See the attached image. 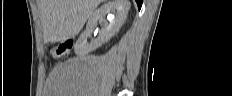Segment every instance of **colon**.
Returning <instances> with one entry per match:
<instances>
[{
  "instance_id": "colon-1",
  "label": "colon",
  "mask_w": 232,
  "mask_h": 96,
  "mask_svg": "<svg viewBox=\"0 0 232 96\" xmlns=\"http://www.w3.org/2000/svg\"><path fill=\"white\" fill-rule=\"evenodd\" d=\"M74 47V42L72 40H65L53 47L50 51L52 57L56 59H64L72 51Z\"/></svg>"
}]
</instances>
